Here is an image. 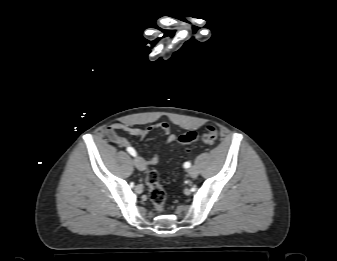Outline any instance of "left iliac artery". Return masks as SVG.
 Returning a JSON list of instances; mask_svg holds the SVG:
<instances>
[{
  "mask_svg": "<svg viewBox=\"0 0 337 261\" xmlns=\"http://www.w3.org/2000/svg\"><path fill=\"white\" fill-rule=\"evenodd\" d=\"M190 166H191V163H190V162H185V163H184V167H185V168H189Z\"/></svg>",
  "mask_w": 337,
  "mask_h": 261,
  "instance_id": "obj_1",
  "label": "left iliac artery"
}]
</instances>
